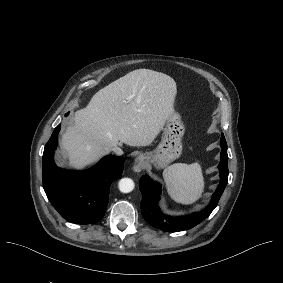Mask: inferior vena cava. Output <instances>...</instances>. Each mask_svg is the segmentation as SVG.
Returning a JSON list of instances; mask_svg holds the SVG:
<instances>
[{"label":"inferior vena cava","mask_w":283,"mask_h":283,"mask_svg":"<svg viewBox=\"0 0 283 283\" xmlns=\"http://www.w3.org/2000/svg\"><path fill=\"white\" fill-rule=\"evenodd\" d=\"M113 152L117 155V156H122L123 155V151L120 147H114L113 148Z\"/></svg>","instance_id":"obj_1"}]
</instances>
